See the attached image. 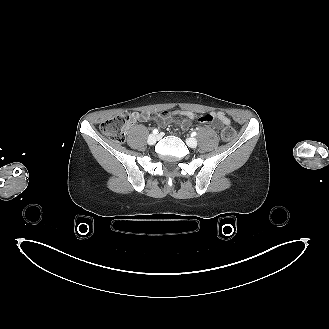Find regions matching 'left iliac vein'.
Masks as SVG:
<instances>
[{
    "label": "left iliac vein",
    "instance_id": "obj_1",
    "mask_svg": "<svg viewBox=\"0 0 329 329\" xmlns=\"http://www.w3.org/2000/svg\"><path fill=\"white\" fill-rule=\"evenodd\" d=\"M161 138V136H159V139ZM186 143L190 148H196L197 147V140L195 138H187L186 139Z\"/></svg>",
    "mask_w": 329,
    "mask_h": 329
}]
</instances>
